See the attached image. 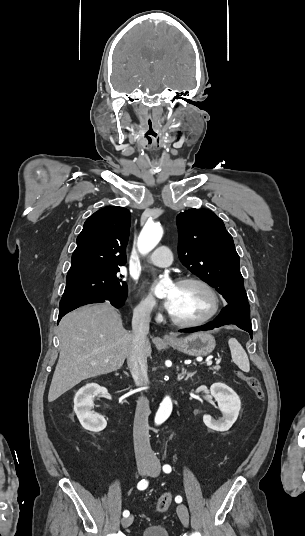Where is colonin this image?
I'll list each match as a JSON object with an SVG mask.
<instances>
[{"label": "colon", "instance_id": "obj_1", "mask_svg": "<svg viewBox=\"0 0 305 536\" xmlns=\"http://www.w3.org/2000/svg\"><path fill=\"white\" fill-rule=\"evenodd\" d=\"M236 375L248 385V387L251 389V391L254 393V395L259 401L264 400L265 392L258 379L253 376L243 374L240 371H237ZM172 504V494L170 492L163 493L156 502V511L158 513H165L170 510Z\"/></svg>", "mask_w": 305, "mask_h": 536}]
</instances>
